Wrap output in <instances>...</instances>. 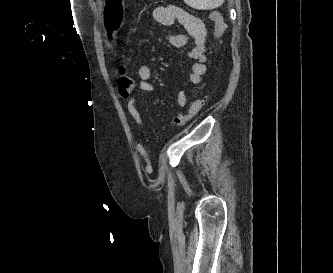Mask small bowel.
I'll return each instance as SVG.
<instances>
[{
    "instance_id": "small-bowel-1",
    "label": "small bowel",
    "mask_w": 333,
    "mask_h": 273,
    "mask_svg": "<svg viewBox=\"0 0 333 273\" xmlns=\"http://www.w3.org/2000/svg\"><path fill=\"white\" fill-rule=\"evenodd\" d=\"M154 21L161 26L179 25L185 29L183 34H165L166 41L174 47L184 48L190 44L187 56L193 60L188 72L189 81L198 84L206 71V41L207 28L204 22L190 14L188 11L173 5L160 6L152 11ZM139 78V90L147 94L154 91L151 83L152 70L148 65H140L137 71ZM177 104L181 108H186L188 98L184 90L180 89L176 95ZM137 98L132 97L127 101V110L135 123L140 127H145V122L137 108ZM179 117L173 119L172 125ZM135 149L138 154L145 160V172H151L152 166L149 160L148 152L143 144L142 139L135 140Z\"/></svg>"
}]
</instances>
